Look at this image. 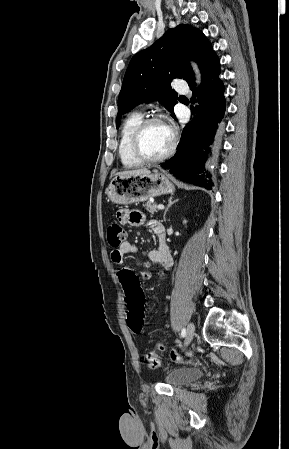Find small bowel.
Returning <instances> with one entry per match:
<instances>
[{
	"mask_svg": "<svg viewBox=\"0 0 289 449\" xmlns=\"http://www.w3.org/2000/svg\"><path fill=\"white\" fill-rule=\"evenodd\" d=\"M120 222L124 224H129L132 226H141L143 224H147L150 226L155 233L157 237V247L150 250H141L139 249L135 244L130 243L128 241L124 242L120 247L115 248L111 252V260L120 266L124 265L125 256L128 254H141L145 257H147L152 263L158 264L162 266L164 269H170L173 265V260L169 251V248L166 244L165 239V231L164 227L155 220H146L145 216L142 212L138 210H129V209H122L117 214ZM140 275L145 279H150L151 274L146 271L140 272ZM176 343L178 345H181L183 343V340L181 338H178L176 340ZM172 351L169 353V356L173 360H177L179 357V353L175 351L176 345L173 344ZM179 352L181 351L183 354V358H181L179 361L181 363H185L186 361L190 360L192 357L191 349L183 347L182 349L179 347L177 349ZM189 353V354H186ZM196 356L194 357L196 360L199 358L197 355L199 354L197 351L194 353ZM186 366L188 368H193L195 366V363L193 361H188L186 363Z\"/></svg>",
	"mask_w": 289,
	"mask_h": 449,
	"instance_id": "1",
	"label": "small bowel"
}]
</instances>
